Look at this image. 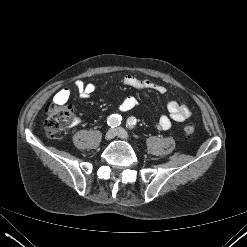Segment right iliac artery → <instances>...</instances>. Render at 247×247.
<instances>
[{"label":"right iliac artery","mask_w":247,"mask_h":247,"mask_svg":"<svg viewBox=\"0 0 247 247\" xmlns=\"http://www.w3.org/2000/svg\"><path fill=\"white\" fill-rule=\"evenodd\" d=\"M121 120H122V118H121V116L120 115H118V114H113V115H111L109 118H108V120H107V124L110 126V127H112V128H115V127H117V126H119L120 124H121Z\"/></svg>","instance_id":"obj_1"}]
</instances>
